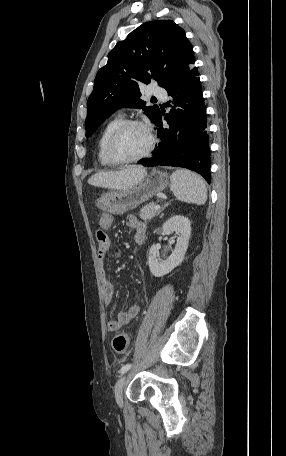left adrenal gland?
<instances>
[{"label": "left adrenal gland", "instance_id": "left-adrenal-gland-1", "mask_svg": "<svg viewBox=\"0 0 286 456\" xmlns=\"http://www.w3.org/2000/svg\"><path fill=\"white\" fill-rule=\"evenodd\" d=\"M167 205H168V204H167ZM167 205H165V206H164V207H163V208H162V209L159 211V213H161V211H163V210H164V208H165Z\"/></svg>", "mask_w": 286, "mask_h": 456}]
</instances>
